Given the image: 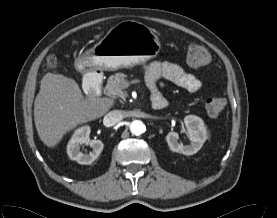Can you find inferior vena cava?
<instances>
[{"instance_id":"inferior-vena-cava-1","label":"inferior vena cava","mask_w":277,"mask_h":218,"mask_svg":"<svg viewBox=\"0 0 277 218\" xmlns=\"http://www.w3.org/2000/svg\"><path fill=\"white\" fill-rule=\"evenodd\" d=\"M122 119H123L122 112L120 110H113L105 115L103 119V124L107 127L113 126L118 122H120Z\"/></svg>"}]
</instances>
